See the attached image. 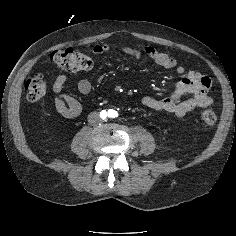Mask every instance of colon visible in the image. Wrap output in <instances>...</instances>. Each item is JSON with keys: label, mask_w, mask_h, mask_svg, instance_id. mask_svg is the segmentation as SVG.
I'll list each match as a JSON object with an SVG mask.
<instances>
[{"label": "colon", "mask_w": 236, "mask_h": 236, "mask_svg": "<svg viewBox=\"0 0 236 236\" xmlns=\"http://www.w3.org/2000/svg\"><path fill=\"white\" fill-rule=\"evenodd\" d=\"M52 60L62 69L73 72H84L92 68V60L86 54L72 48L56 50L51 54ZM25 91L30 102H37L43 99L47 93V85L42 75L31 76L26 84ZM201 118L206 125L212 126L217 121V114L206 109L202 112Z\"/></svg>", "instance_id": "obj_1"}]
</instances>
